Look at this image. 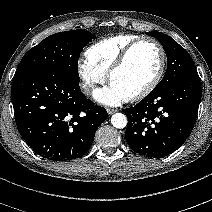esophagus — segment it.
<instances>
[{
  "instance_id": "34e87169",
  "label": "esophagus",
  "mask_w": 212,
  "mask_h": 212,
  "mask_svg": "<svg viewBox=\"0 0 212 212\" xmlns=\"http://www.w3.org/2000/svg\"><path fill=\"white\" fill-rule=\"evenodd\" d=\"M115 112H117L116 109H112V108H108V109H107V113H108V114H113V113H115Z\"/></svg>"
}]
</instances>
